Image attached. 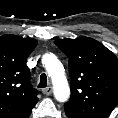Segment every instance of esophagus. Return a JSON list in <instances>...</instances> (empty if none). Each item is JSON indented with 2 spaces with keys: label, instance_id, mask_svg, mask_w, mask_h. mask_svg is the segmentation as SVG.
<instances>
[{
  "label": "esophagus",
  "instance_id": "esophagus-1",
  "mask_svg": "<svg viewBox=\"0 0 118 118\" xmlns=\"http://www.w3.org/2000/svg\"><path fill=\"white\" fill-rule=\"evenodd\" d=\"M42 92H43L45 95H50V94L52 93V87L49 86V87H47V88H44V89L42 90Z\"/></svg>",
  "mask_w": 118,
  "mask_h": 118
}]
</instances>
